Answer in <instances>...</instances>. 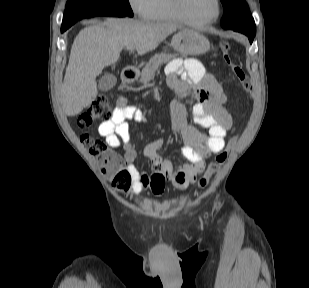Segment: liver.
Instances as JSON below:
<instances>
[{
  "label": "liver",
  "instance_id": "6515ba94",
  "mask_svg": "<svg viewBox=\"0 0 309 288\" xmlns=\"http://www.w3.org/2000/svg\"><path fill=\"white\" fill-rule=\"evenodd\" d=\"M178 27L133 19H107L85 27L76 36L66 68L61 103L68 116L82 112L96 98V78L117 62L122 49L132 46L138 55L153 51Z\"/></svg>",
  "mask_w": 309,
  "mask_h": 288
}]
</instances>
